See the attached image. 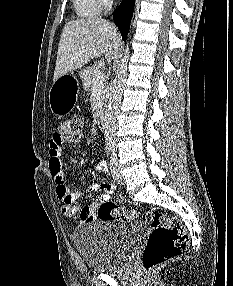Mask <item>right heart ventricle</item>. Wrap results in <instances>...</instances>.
I'll return each mask as SVG.
<instances>
[{
    "label": "right heart ventricle",
    "instance_id": "right-heart-ventricle-1",
    "mask_svg": "<svg viewBox=\"0 0 233 286\" xmlns=\"http://www.w3.org/2000/svg\"><path fill=\"white\" fill-rule=\"evenodd\" d=\"M73 5L80 18L98 17L105 7L103 0H73Z\"/></svg>",
    "mask_w": 233,
    "mask_h": 286
}]
</instances>
